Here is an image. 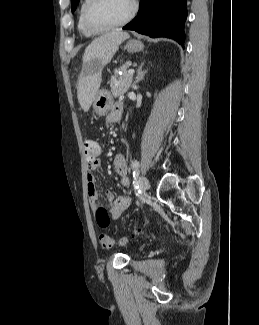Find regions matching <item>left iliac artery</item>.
I'll list each match as a JSON object with an SVG mask.
<instances>
[{
	"label": "left iliac artery",
	"instance_id": "44dca946",
	"mask_svg": "<svg viewBox=\"0 0 259 325\" xmlns=\"http://www.w3.org/2000/svg\"><path fill=\"white\" fill-rule=\"evenodd\" d=\"M137 165H139V162L137 160H134L131 164L132 169L137 168Z\"/></svg>",
	"mask_w": 259,
	"mask_h": 325
}]
</instances>
